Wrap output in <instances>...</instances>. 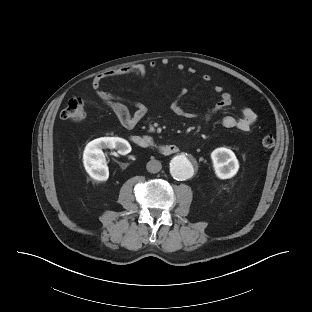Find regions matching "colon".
<instances>
[{
    "label": "colon",
    "mask_w": 312,
    "mask_h": 312,
    "mask_svg": "<svg viewBox=\"0 0 312 312\" xmlns=\"http://www.w3.org/2000/svg\"><path fill=\"white\" fill-rule=\"evenodd\" d=\"M60 117L63 120L81 121L86 117L85 105L81 98H71L66 107L61 111ZM275 139L273 135L267 134L261 139V146L270 149L274 146Z\"/></svg>",
    "instance_id": "obj_1"
}]
</instances>
